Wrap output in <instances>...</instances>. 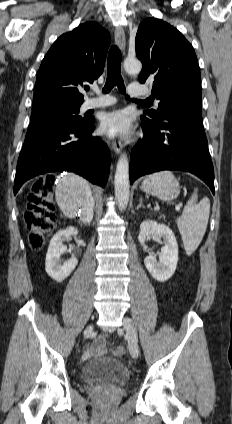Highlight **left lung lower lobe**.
I'll list each match as a JSON object with an SVG mask.
<instances>
[{
  "mask_svg": "<svg viewBox=\"0 0 232 424\" xmlns=\"http://www.w3.org/2000/svg\"><path fill=\"white\" fill-rule=\"evenodd\" d=\"M145 138L131 152L130 182L161 170L195 174L214 189V169L202 123L201 107L178 105L163 111L159 120L141 116Z\"/></svg>",
  "mask_w": 232,
  "mask_h": 424,
  "instance_id": "1",
  "label": "left lung lower lobe"
}]
</instances>
